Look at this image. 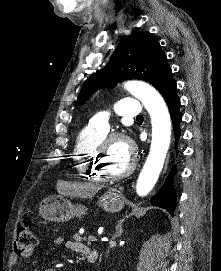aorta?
Returning a JSON list of instances; mask_svg holds the SVG:
<instances>
[{
	"label": "aorta",
	"mask_w": 221,
	"mask_h": 271,
	"mask_svg": "<svg viewBox=\"0 0 221 271\" xmlns=\"http://www.w3.org/2000/svg\"><path fill=\"white\" fill-rule=\"evenodd\" d=\"M124 88L142 102L151 118L150 151L136 183L137 194L146 196L155 186L164 165L171 140V118L164 99L149 84L128 81Z\"/></svg>",
	"instance_id": "1"
}]
</instances>
